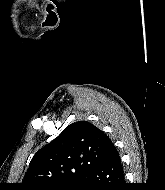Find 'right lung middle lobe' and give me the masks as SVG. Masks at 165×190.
<instances>
[{
	"mask_svg": "<svg viewBox=\"0 0 165 190\" xmlns=\"http://www.w3.org/2000/svg\"><path fill=\"white\" fill-rule=\"evenodd\" d=\"M81 187V180L77 181L73 184H69L66 186H61V187H57V188H53L52 190H79Z\"/></svg>",
	"mask_w": 165,
	"mask_h": 190,
	"instance_id": "obj_1",
	"label": "right lung middle lobe"
}]
</instances>
